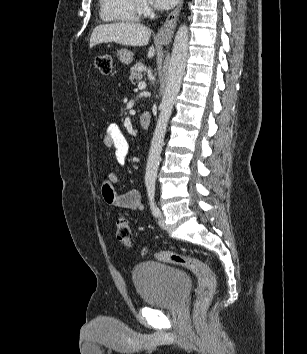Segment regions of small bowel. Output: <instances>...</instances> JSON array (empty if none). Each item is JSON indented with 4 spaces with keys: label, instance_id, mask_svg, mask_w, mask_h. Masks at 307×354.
<instances>
[{
    "label": "small bowel",
    "instance_id": "obj_1",
    "mask_svg": "<svg viewBox=\"0 0 307 354\" xmlns=\"http://www.w3.org/2000/svg\"><path fill=\"white\" fill-rule=\"evenodd\" d=\"M106 147L113 149L115 158L119 164H124L130 150V144L116 123L107 126L103 137ZM119 182L116 173L110 172L102 181V196L105 202L115 208L125 210H142L143 203L138 191L132 190L127 193L119 194L114 189V184Z\"/></svg>",
    "mask_w": 307,
    "mask_h": 354
}]
</instances>
